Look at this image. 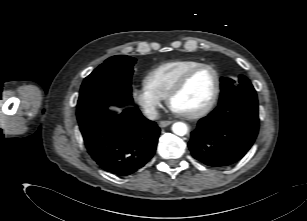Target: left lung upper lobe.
Returning <instances> with one entry per match:
<instances>
[{
    "instance_id": "left-lung-upper-lobe-1",
    "label": "left lung upper lobe",
    "mask_w": 307,
    "mask_h": 221,
    "mask_svg": "<svg viewBox=\"0 0 307 221\" xmlns=\"http://www.w3.org/2000/svg\"><path fill=\"white\" fill-rule=\"evenodd\" d=\"M248 93H255V89L250 83V80L245 76H239L238 84L231 79L221 78V95L219 103Z\"/></svg>"
}]
</instances>
